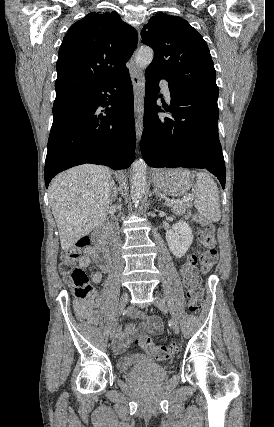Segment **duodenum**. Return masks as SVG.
I'll return each instance as SVG.
<instances>
[{"label":"duodenum","mask_w":274,"mask_h":427,"mask_svg":"<svg viewBox=\"0 0 274 427\" xmlns=\"http://www.w3.org/2000/svg\"><path fill=\"white\" fill-rule=\"evenodd\" d=\"M111 227H112V225H111V224H108V225H107V229H111Z\"/></svg>","instance_id":"duodenum-1"}]
</instances>
